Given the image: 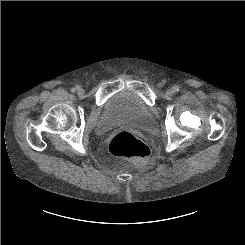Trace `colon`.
I'll return each instance as SVG.
<instances>
[{
    "mask_svg": "<svg viewBox=\"0 0 245 245\" xmlns=\"http://www.w3.org/2000/svg\"><path fill=\"white\" fill-rule=\"evenodd\" d=\"M109 151L136 164L145 163L151 154L149 147L127 130L120 131L112 138Z\"/></svg>",
    "mask_w": 245,
    "mask_h": 245,
    "instance_id": "colon-1",
    "label": "colon"
}]
</instances>
